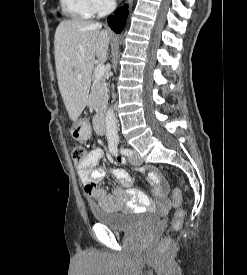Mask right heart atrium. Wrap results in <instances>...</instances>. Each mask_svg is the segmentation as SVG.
<instances>
[{"label":"right heart atrium","mask_w":247,"mask_h":275,"mask_svg":"<svg viewBox=\"0 0 247 275\" xmlns=\"http://www.w3.org/2000/svg\"><path fill=\"white\" fill-rule=\"evenodd\" d=\"M95 12L102 13L112 6V0H93Z\"/></svg>","instance_id":"d8ad5b80"}]
</instances>
